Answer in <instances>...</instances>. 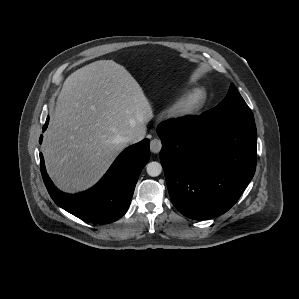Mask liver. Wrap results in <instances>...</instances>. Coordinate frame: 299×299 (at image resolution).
<instances>
[{
    "label": "liver",
    "mask_w": 299,
    "mask_h": 299,
    "mask_svg": "<svg viewBox=\"0 0 299 299\" xmlns=\"http://www.w3.org/2000/svg\"><path fill=\"white\" fill-rule=\"evenodd\" d=\"M153 118L138 82L113 60L90 63L68 76L45 133L48 174L68 193L85 190L126 147L120 139Z\"/></svg>",
    "instance_id": "6515ba94"
}]
</instances>
